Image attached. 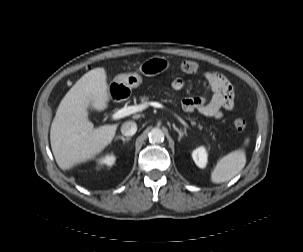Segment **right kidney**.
Segmentation results:
<instances>
[{"label": "right kidney", "mask_w": 303, "mask_h": 252, "mask_svg": "<svg viewBox=\"0 0 303 252\" xmlns=\"http://www.w3.org/2000/svg\"><path fill=\"white\" fill-rule=\"evenodd\" d=\"M116 158L113 154L106 155L105 157L99 160L100 165L112 166L115 162Z\"/></svg>", "instance_id": "1"}]
</instances>
